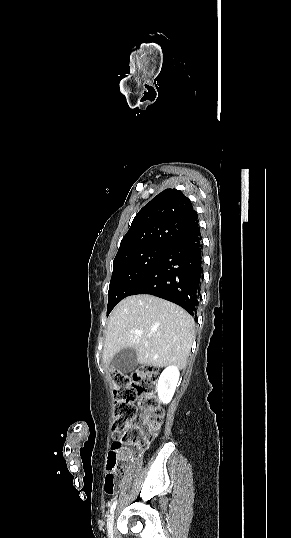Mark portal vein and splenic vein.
I'll return each mask as SVG.
<instances>
[{"instance_id":"1","label":"portal vein and splenic vein","mask_w":291,"mask_h":538,"mask_svg":"<svg viewBox=\"0 0 291 538\" xmlns=\"http://www.w3.org/2000/svg\"><path fill=\"white\" fill-rule=\"evenodd\" d=\"M137 335H141V332H139L138 330H135L134 331Z\"/></svg>"}]
</instances>
